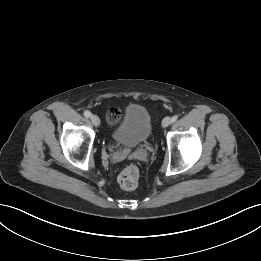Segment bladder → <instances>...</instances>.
I'll return each instance as SVG.
<instances>
[{
	"label": "bladder",
	"instance_id": "bladder-1",
	"mask_svg": "<svg viewBox=\"0 0 261 261\" xmlns=\"http://www.w3.org/2000/svg\"><path fill=\"white\" fill-rule=\"evenodd\" d=\"M151 132L152 121L148 110L140 104H130L114 127L112 137L118 144L134 148L146 142Z\"/></svg>",
	"mask_w": 261,
	"mask_h": 261
}]
</instances>
